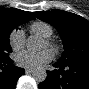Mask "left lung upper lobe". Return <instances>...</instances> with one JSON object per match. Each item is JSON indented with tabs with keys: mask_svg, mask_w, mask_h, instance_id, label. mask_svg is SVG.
<instances>
[{
	"mask_svg": "<svg viewBox=\"0 0 89 89\" xmlns=\"http://www.w3.org/2000/svg\"><path fill=\"white\" fill-rule=\"evenodd\" d=\"M34 14L38 19L53 25L61 36L64 52L59 63L70 64L89 60V22L86 19L62 10Z\"/></svg>",
	"mask_w": 89,
	"mask_h": 89,
	"instance_id": "obj_1",
	"label": "left lung upper lobe"
}]
</instances>
